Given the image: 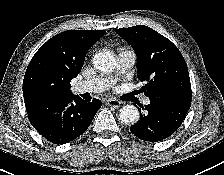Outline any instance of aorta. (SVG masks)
I'll use <instances>...</instances> for the list:
<instances>
[{"mask_svg":"<svg viewBox=\"0 0 224 175\" xmlns=\"http://www.w3.org/2000/svg\"><path fill=\"white\" fill-rule=\"evenodd\" d=\"M94 67L102 72H111L116 67V58L109 52H99L93 58ZM120 121L125 124H133L138 122L140 114L134 105H125L119 112Z\"/></svg>","mask_w":224,"mask_h":175,"instance_id":"aorta-1","label":"aorta"}]
</instances>
